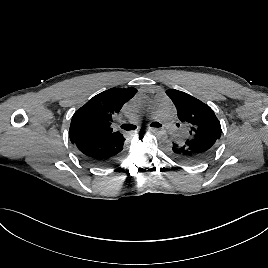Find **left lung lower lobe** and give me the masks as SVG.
I'll use <instances>...</instances> for the list:
<instances>
[{
  "mask_svg": "<svg viewBox=\"0 0 268 268\" xmlns=\"http://www.w3.org/2000/svg\"><path fill=\"white\" fill-rule=\"evenodd\" d=\"M219 139L211 136L189 137L183 141L171 142L166 151L170 157L184 165H197L215 152Z\"/></svg>",
  "mask_w": 268,
  "mask_h": 268,
  "instance_id": "1",
  "label": "left lung lower lobe"
}]
</instances>
